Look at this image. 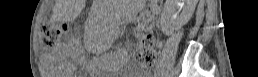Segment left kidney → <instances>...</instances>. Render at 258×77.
I'll return each instance as SVG.
<instances>
[{"label": "left kidney", "instance_id": "5707ae66", "mask_svg": "<svg viewBox=\"0 0 258 77\" xmlns=\"http://www.w3.org/2000/svg\"><path fill=\"white\" fill-rule=\"evenodd\" d=\"M186 2V6L183 9L179 20L181 23H186L192 16L195 6L198 0H184Z\"/></svg>", "mask_w": 258, "mask_h": 77}]
</instances>
